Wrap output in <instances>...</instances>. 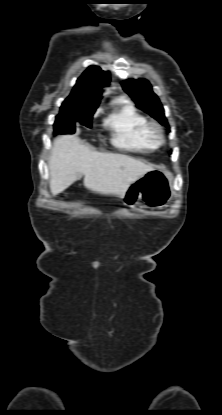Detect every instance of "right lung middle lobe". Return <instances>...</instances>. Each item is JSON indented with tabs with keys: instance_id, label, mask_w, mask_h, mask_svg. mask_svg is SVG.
Listing matches in <instances>:
<instances>
[{
	"instance_id": "1",
	"label": "right lung middle lobe",
	"mask_w": 222,
	"mask_h": 415,
	"mask_svg": "<svg viewBox=\"0 0 222 415\" xmlns=\"http://www.w3.org/2000/svg\"><path fill=\"white\" fill-rule=\"evenodd\" d=\"M95 110L96 108L80 106L60 109V114L56 116L54 123V133L72 134L75 132L76 122L91 128Z\"/></svg>"
}]
</instances>
